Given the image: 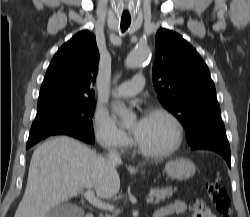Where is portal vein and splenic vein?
I'll return each instance as SVG.
<instances>
[{
    "label": "portal vein and splenic vein",
    "instance_id": "18ae733b",
    "mask_svg": "<svg viewBox=\"0 0 250 217\" xmlns=\"http://www.w3.org/2000/svg\"><path fill=\"white\" fill-rule=\"evenodd\" d=\"M84 197L86 200H88V202L90 204H92L95 207L101 208V209H105V210H109V211H114V206L108 203H105L101 200H99L98 198L95 197L94 191L89 189L84 193ZM154 199L153 197H149L146 202L148 204L153 203Z\"/></svg>",
    "mask_w": 250,
    "mask_h": 217
}]
</instances>
